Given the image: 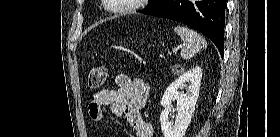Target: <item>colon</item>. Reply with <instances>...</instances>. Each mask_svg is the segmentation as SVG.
<instances>
[{"label":"colon","instance_id":"colon-1","mask_svg":"<svg viewBox=\"0 0 280 137\" xmlns=\"http://www.w3.org/2000/svg\"><path fill=\"white\" fill-rule=\"evenodd\" d=\"M108 70L105 66L99 65L94 66L89 70L88 73V86L91 89H97L104 85L107 79Z\"/></svg>","mask_w":280,"mask_h":137}]
</instances>
